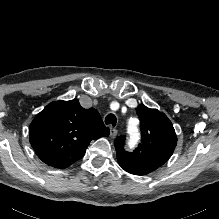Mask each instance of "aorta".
I'll list each match as a JSON object with an SVG mask.
<instances>
[{
    "mask_svg": "<svg viewBox=\"0 0 219 219\" xmlns=\"http://www.w3.org/2000/svg\"><path fill=\"white\" fill-rule=\"evenodd\" d=\"M137 139H138V135H136V138H135L134 142H136V141H137Z\"/></svg>",
    "mask_w": 219,
    "mask_h": 219,
    "instance_id": "762f6f07",
    "label": "aorta"
}]
</instances>
